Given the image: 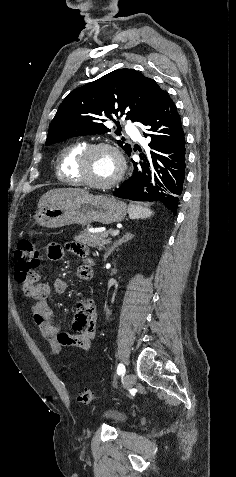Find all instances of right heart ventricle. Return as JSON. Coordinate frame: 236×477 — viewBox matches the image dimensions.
I'll return each instance as SVG.
<instances>
[{
  "instance_id": "right-heart-ventricle-1",
  "label": "right heart ventricle",
  "mask_w": 236,
  "mask_h": 477,
  "mask_svg": "<svg viewBox=\"0 0 236 477\" xmlns=\"http://www.w3.org/2000/svg\"><path fill=\"white\" fill-rule=\"evenodd\" d=\"M84 147L83 142H76L63 148L56 164V175L60 181L70 185L82 184L76 173V162Z\"/></svg>"
}]
</instances>
